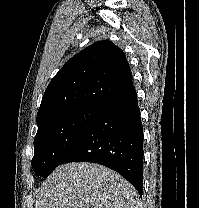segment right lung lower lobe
Listing matches in <instances>:
<instances>
[{"instance_id":"1","label":"right lung lower lobe","mask_w":199,"mask_h":208,"mask_svg":"<svg viewBox=\"0 0 199 208\" xmlns=\"http://www.w3.org/2000/svg\"><path fill=\"white\" fill-rule=\"evenodd\" d=\"M143 126L134 86L104 102L74 148L63 159L93 162L115 170L142 197Z\"/></svg>"}]
</instances>
